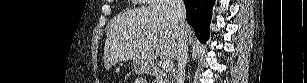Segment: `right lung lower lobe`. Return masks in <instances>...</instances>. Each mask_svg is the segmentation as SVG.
<instances>
[{
	"label": "right lung lower lobe",
	"mask_w": 307,
	"mask_h": 83,
	"mask_svg": "<svg viewBox=\"0 0 307 83\" xmlns=\"http://www.w3.org/2000/svg\"><path fill=\"white\" fill-rule=\"evenodd\" d=\"M186 20L201 42L209 38V24L214 0H184Z\"/></svg>",
	"instance_id": "98d812e1"
}]
</instances>
